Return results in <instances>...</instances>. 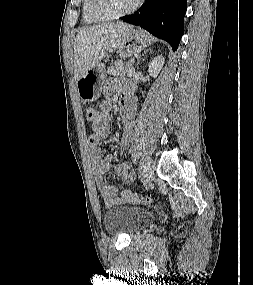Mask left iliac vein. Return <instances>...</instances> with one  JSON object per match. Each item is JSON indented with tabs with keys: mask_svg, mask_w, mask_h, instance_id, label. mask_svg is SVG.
Returning <instances> with one entry per match:
<instances>
[{
	"mask_svg": "<svg viewBox=\"0 0 253 285\" xmlns=\"http://www.w3.org/2000/svg\"><path fill=\"white\" fill-rule=\"evenodd\" d=\"M154 171H155L154 162L152 160H150L147 162L145 172L143 175V185L144 186H147L150 184V182L152 181L153 176H154Z\"/></svg>",
	"mask_w": 253,
	"mask_h": 285,
	"instance_id": "4c4485c4",
	"label": "left iliac vein"
}]
</instances>
